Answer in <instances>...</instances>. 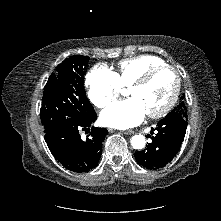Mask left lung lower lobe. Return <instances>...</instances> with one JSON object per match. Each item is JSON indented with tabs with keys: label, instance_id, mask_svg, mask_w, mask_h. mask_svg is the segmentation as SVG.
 <instances>
[{
	"label": "left lung lower lobe",
	"instance_id": "obj_1",
	"mask_svg": "<svg viewBox=\"0 0 221 221\" xmlns=\"http://www.w3.org/2000/svg\"><path fill=\"white\" fill-rule=\"evenodd\" d=\"M187 116L180 113L167 115L157 123L156 131L148 135L152 142L135 152L136 161L147 169H158L169 163L178 153L187 128Z\"/></svg>",
	"mask_w": 221,
	"mask_h": 221
}]
</instances>
